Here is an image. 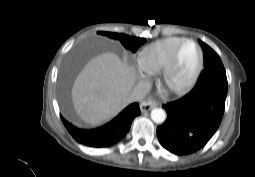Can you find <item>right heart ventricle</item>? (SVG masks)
I'll return each instance as SVG.
<instances>
[{
  "label": "right heart ventricle",
  "instance_id": "e07e8e85",
  "mask_svg": "<svg viewBox=\"0 0 255 177\" xmlns=\"http://www.w3.org/2000/svg\"><path fill=\"white\" fill-rule=\"evenodd\" d=\"M185 38L169 37L146 46L140 53L141 63L150 70L163 68L172 57L177 46Z\"/></svg>",
  "mask_w": 255,
  "mask_h": 177
}]
</instances>
